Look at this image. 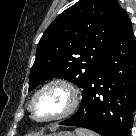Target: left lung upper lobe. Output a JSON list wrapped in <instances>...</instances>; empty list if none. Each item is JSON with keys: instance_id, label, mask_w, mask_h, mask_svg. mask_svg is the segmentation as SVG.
I'll use <instances>...</instances> for the list:
<instances>
[{"instance_id": "left-lung-upper-lobe-1", "label": "left lung upper lobe", "mask_w": 136, "mask_h": 136, "mask_svg": "<svg viewBox=\"0 0 136 136\" xmlns=\"http://www.w3.org/2000/svg\"><path fill=\"white\" fill-rule=\"evenodd\" d=\"M126 16L115 0H79L63 11L38 43L29 90L55 77L84 88Z\"/></svg>"}]
</instances>
